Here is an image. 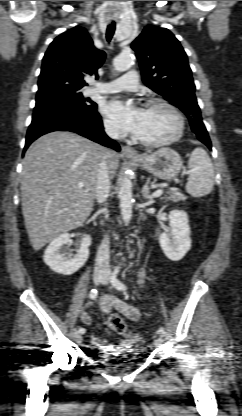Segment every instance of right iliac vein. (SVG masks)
<instances>
[{
  "instance_id": "right-iliac-vein-1",
  "label": "right iliac vein",
  "mask_w": 242,
  "mask_h": 416,
  "mask_svg": "<svg viewBox=\"0 0 242 416\" xmlns=\"http://www.w3.org/2000/svg\"><path fill=\"white\" fill-rule=\"evenodd\" d=\"M105 277L104 270L102 269H96L93 274V279L95 284H99ZM74 339L76 342L80 343L83 340L82 334L79 331H75L74 333Z\"/></svg>"
}]
</instances>
